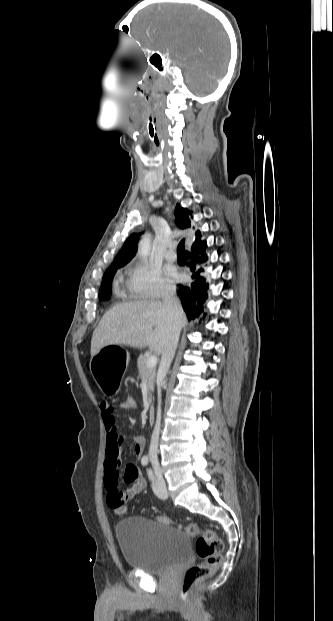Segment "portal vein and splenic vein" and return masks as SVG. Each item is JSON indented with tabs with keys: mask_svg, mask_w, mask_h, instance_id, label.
Masks as SVG:
<instances>
[{
	"mask_svg": "<svg viewBox=\"0 0 333 621\" xmlns=\"http://www.w3.org/2000/svg\"><path fill=\"white\" fill-rule=\"evenodd\" d=\"M157 364V357L154 356H149L147 359V366L148 367H154Z\"/></svg>",
	"mask_w": 333,
	"mask_h": 621,
	"instance_id": "18ae733b",
	"label": "portal vein and splenic vein"
}]
</instances>
